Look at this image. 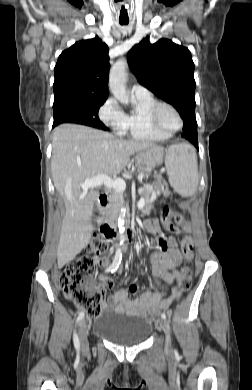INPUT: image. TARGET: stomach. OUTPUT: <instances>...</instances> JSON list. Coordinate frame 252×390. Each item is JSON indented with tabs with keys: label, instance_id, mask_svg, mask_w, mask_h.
Masks as SVG:
<instances>
[{
	"label": "stomach",
	"instance_id": "obj_1",
	"mask_svg": "<svg viewBox=\"0 0 252 390\" xmlns=\"http://www.w3.org/2000/svg\"><path fill=\"white\" fill-rule=\"evenodd\" d=\"M163 155V151L152 148L137 152L135 160L139 171L150 174L152 170L162 164Z\"/></svg>",
	"mask_w": 252,
	"mask_h": 390
}]
</instances>
